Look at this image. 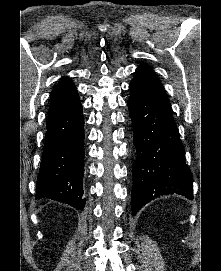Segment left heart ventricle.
<instances>
[{
    "label": "left heart ventricle",
    "mask_w": 221,
    "mask_h": 271,
    "mask_svg": "<svg viewBox=\"0 0 221 271\" xmlns=\"http://www.w3.org/2000/svg\"><path fill=\"white\" fill-rule=\"evenodd\" d=\"M144 87H156V86H144Z\"/></svg>",
    "instance_id": "left-heart-ventricle-1"
}]
</instances>
